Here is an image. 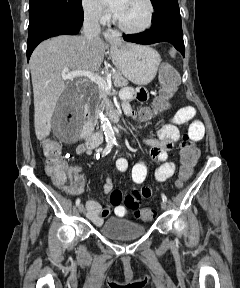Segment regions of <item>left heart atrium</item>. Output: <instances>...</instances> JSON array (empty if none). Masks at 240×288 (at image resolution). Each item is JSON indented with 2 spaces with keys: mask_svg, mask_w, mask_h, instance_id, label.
Here are the masks:
<instances>
[{
  "mask_svg": "<svg viewBox=\"0 0 240 288\" xmlns=\"http://www.w3.org/2000/svg\"><path fill=\"white\" fill-rule=\"evenodd\" d=\"M126 1L127 0H103V2L117 17L122 13Z\"/></svg>",
  "mask_w": 240,
  "mask_h": 288,
  "instance_id": "1",
  "label": "left heart atrium"
}]
</instances>
